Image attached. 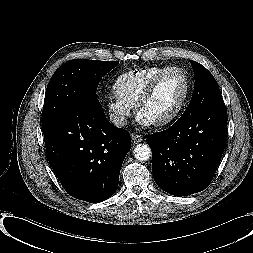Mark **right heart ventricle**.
I'll return each instance as SVG.
<instances>
[{"mask_svg": "<svg viewBox=\"0 0 253 253\" xmlns=\"http://www.w3.org/2000/svg\"><path fill=\"white\" fill-rule=\"evenodd\" d=\"M168 68L169 66H150L122 73L114 83V92L119 98L135 106L149 83Z\"/></svg>", "mask_w": 253, "mask_h": 253, "instance_id": "obj_1", "label": "right heart ventricle"}]
</instances>
